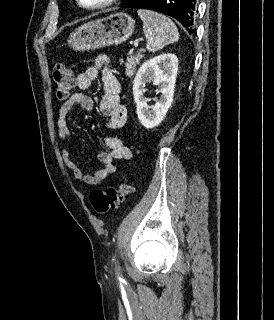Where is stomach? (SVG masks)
Wrapping results in <instances>:
<instances>
[{"label":"stomach","mask_w":274,"mask_h":320,"mask_svg":"<svg viewBox=\"0 0 274 320\" xmlns=\"http://www.w3.org/2000/svg\"><path fill=\"white\" fill-rule=\"evenodd\" d=\"M134 30L135 20L120 12L79 26L70 34L68 44L75 52H89L105 46L123 44L129 40Z\"/></svg>","instance_id":"obj_1"}]
</instances>
